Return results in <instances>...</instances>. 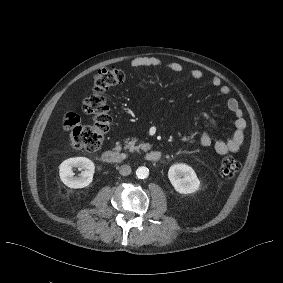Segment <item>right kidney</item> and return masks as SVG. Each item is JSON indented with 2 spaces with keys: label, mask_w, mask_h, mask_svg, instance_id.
I'll return each instance as SVG.
<instances>
[{
  "label": "right kidney",
  "mask_w": 283,
  "mask_h": 283,
  "mask_svg": "<svg viewBox=\"0 0 283 283\" xmlns=\"http://www.w3.org/2000/svg\"><path fill=\"white\" fill-rule=\"evenodd\" d=\"M73 167H78L82 170L79 177L74 176ZM94 170V163L88 158H69L60 164L59 176L61 181L70 188H84L92 182Z\"/></svg>",
  "instance_id": "ca27d5eb"
}]
</instances>
